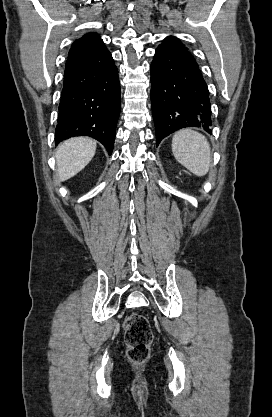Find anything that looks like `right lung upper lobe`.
I'll list each match as a JSON object with an SVG mask.
<instances>
[{
	"label": "right lung upper lobe",
	"mask_w": 272,
	"mask_h": 417,
	"mask_svg": "<svg viewBox=\"0 0 272 417\" xmlns=\"http://www.w3.org/2000/svg\"><path fill=\"white\" fill-rule=\"evenodd\" d=\"M102 42L103 41L97 33L85 34L80 39L74 41L69 51L68 58L84 55Z\"/></svg>",
	"instance_id": "obj_1"
}]
</instances>
